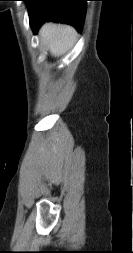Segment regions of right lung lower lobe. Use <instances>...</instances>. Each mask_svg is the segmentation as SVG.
I'll use <instances>...</instances> for the list:
<instances>
[{
  "label": "right lung lower lobe",
  "instance_id": "obj_1",
  "mask_svg": "<svg viewBox=\"0 0 133 253\" xmlns=\"http://www.w3.org/2000/svg\"><path fill=\"white\" fill-rule=\"evenodd\" d=\"M87 0H30L28 11L33 32L46 21L67 23L82 30Z\"/></svg>",
  "mask_w": 133,
  "mask_h": 253
}]
</instances>
